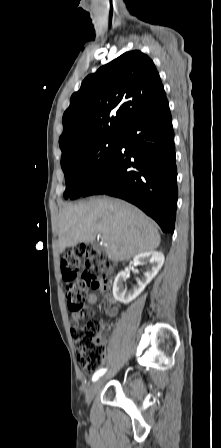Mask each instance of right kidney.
<instances>
[{
    "mask_svg": "<svg viewBox=\"0 0 221 448\" xmlns=\"http://www.w3.org/2000/svg\"><path fill=\"white\" fill-rule=\"evenodd\" d=\"M164 259V254L158 251H148L136 255L133 259L134 264L142 265L149 262L151 264V268L144 273V277L142 279L137 280V284L129 291H127L126 287H123V282L129 276V273L126 271H120L113 284V296L115 300L124 304H129L137 296H139L146 285L150 283L151 280L157 275L164 263Z\"/></svg>",
    "mask_w": 221,
    "mask_h": 448,
    "instance_id": "ca27d5eb",
    "label": "right kidney"
}]
</instances>
